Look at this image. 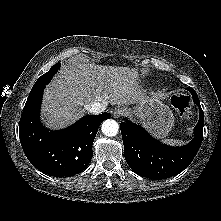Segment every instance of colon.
<instances>
[{
  "instance_id": "1",
  "label": "colon",
  "mask_w": 221,
  "mask_h": 221,
  "mask_svg": "<svg viewBox=\"0 0 221 221\" xmlns=\"http://www.w3.org/2000/svg\"><path fill=\"white\" fill-rule=\"evenodd\" d=\"M171 103L184 118L191 117L190 97L188 94L184 92L174 94L171 97Z\"/></svg>"
}]
</instances>
